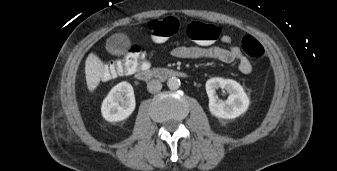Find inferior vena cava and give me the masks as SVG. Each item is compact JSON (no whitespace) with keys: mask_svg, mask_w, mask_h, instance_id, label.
Segmentation results:
<instances>
[{"mask_svg":"<svg viewBox=\"0 0 337 171\" xmlns=\"http://www.w3.org/2000/svg\"><path fill=\"white\" fill-rule=\"evenodd\" d=\"M150 93H157L162 89V83L159 80H151L147 84Z\"/></svg>","mask_w":337,"mask_h":171,"instance_id":"inferior-vena-cava-1","label":"inferior vena cava"}]
</instances>
